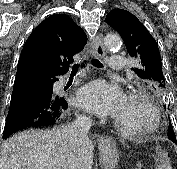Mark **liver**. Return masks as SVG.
Instances as JSON below:
<instances>
[{"label":"liver","mask_w":177,"mask_h":169,"mask_svg":"<svg viewBox=\"0 0 177 169\" xmlns=\"http://www.w3.org/2000/svg\"><path fill=\"white\" fill-rule=\"evenodd\" d=\"M93 148L88 137L68 146L59 128L24 131L4 142L0 169H92Z\"/></svg>","instance_id":"1"}]
</instances>
